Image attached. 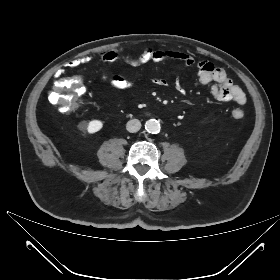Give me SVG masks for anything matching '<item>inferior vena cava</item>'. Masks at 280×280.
<instances>
[{
	"label": "inferior vena cava",
	"instance_id": "1",
	"mask_svg": "<svg viewBox=\"0 0 280 280\" xmlns=\"http://www.w3.org/2000/svg\"><path fill=\"white\" fill-rule=\"evenodd\" d=\"M141 128V122L138 119L129 120L126 124L127 131L131 133L138 132Z\"/></svg>",
	"mask_w": 280,
	"mask_h": 280
}]
</instances>
